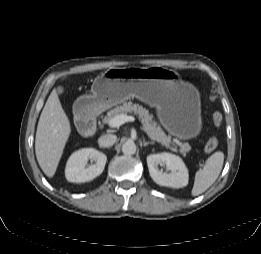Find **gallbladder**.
I'll return each mask as SVG.
<instances>
[{
	"instance_id": "bac80fb5",
	"label": "gallbladder",
	"mask_w": 261,
	"mask_h": 254,
	"mask_svg": "<svg viewBox=\"0 0 261 254\" xmlns=\"http://www.w3.org/2000/svg\"><path fill=\"white\" fill-rule=\"evenodd\" d=\"M57 91H58L59 94H63L64 93V88L62 86H59L57 88Z\"/></svg>"
}]
</instances>
